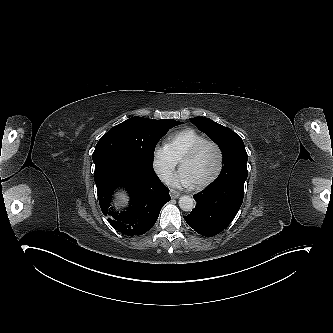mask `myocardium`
Masks as SVG:
<instances>
[{
  "instance_id": "myocardium-1",
  "label": "myocardium",
  "mask_w": 333,
  "mask_h": 333,
  "mask_svg": "<svg viewBox=\"0 0 333 333\" xmlns=\"http://www.w3.org/2000/svg\"><path fill=\"white\" fill-rule=\"evenodd\" d=\"M207 145L212 146L215 149V151L217 153V164H216L215 170L213 171V173L208 178L194 184V187L197 188V189H201V188H204V187L210 185L220 175V173L222 171V168H223V153H222L221 147L219 146V144L217 142H215L213 140H210V139H205V140L201 141L200 143L196 144L194 147H192L183 156V158L180 161V166H181V169H182L188 161L193 159L200 152V150L204 146H207Z\"/></svg>"
}]
</instances>
